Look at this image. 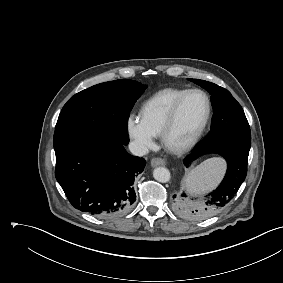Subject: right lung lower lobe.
Instances as JSON below:
<instances>
[{"instance_id":"right-lung-lower-lobe-1","label":"right lung lower lobe","mask_w":283,"mask_h":283,"mask_svg":"<svg viewBox=\"0 0 283 283\" xmlns=\"http://www.w3.org/2000/svg\"><path fill=\"white\" fill-rule=\"evenodd\" d=\"M124 146L109 137L91 136L56 152L55 177L76 209L111 217L132 207L133 182L146 161L128 154Z\"/></svg>"}]
</instances>
